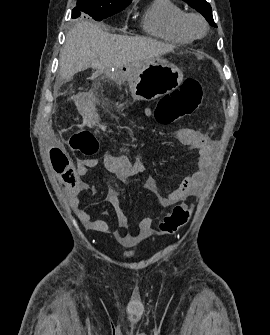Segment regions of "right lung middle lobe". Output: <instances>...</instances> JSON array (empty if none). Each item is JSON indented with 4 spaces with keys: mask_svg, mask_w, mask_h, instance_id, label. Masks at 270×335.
I'll list each match as a JSON object with an SVG mask.
<instances>
[{
    "mask_svg": "<svg viewBox=\"0 0 270 335\" xmlns=\"http://www.w3.org/2000/svg\"><path fill=\"white\" fill-rule=\"evenodd\" d=\"M129 3L105 4L98 0H77V6L72 11V18L82 16L87 19L101 21L122 11Z\"/></svg>",
    "mask_w": 270,
    "mask_h": 335,
    "instance_id": "dd1d6c3e",
    "label": "right lung middle lobe"
}]
</instances>
